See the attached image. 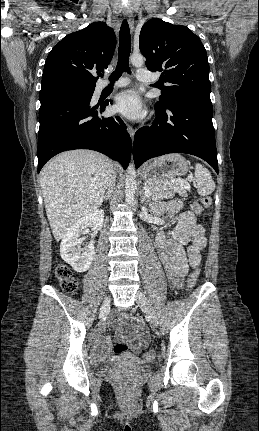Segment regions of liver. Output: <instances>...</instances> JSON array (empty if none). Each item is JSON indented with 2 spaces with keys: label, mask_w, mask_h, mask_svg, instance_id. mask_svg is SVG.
<instances>
[{
  "label": "liver",
  "mask_w": 259,
  "mask_h": 431,
  "mask_svg": "<svg viewBox=\"0 0 259 431\" xmlns=\"http://www.w3.org/2000/svg\"><path fill=\"white\" fill-rule=\"evenodd\" d=\"M114 170L116 167L106 156L84 149L63 152L43 167L39 181L56 241L77 220L102 204Z\"/></svg>",
  "instance_id": "liver-1"
}]
</instances>
